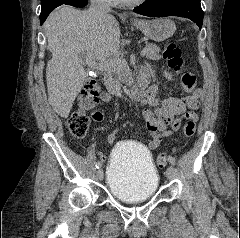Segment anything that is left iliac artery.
I'll return each mask as SVG.
<instances>
[{
	"instance_id": "44dca946",
	"label": "left iliac artery",
	"mask_w": 240,
	"mask_h": 238,
	"mask_svg": "<svg viewBox=\"0 0 240 238\" xmlns=\"http://www.w3.org/2000/svg\"><path fill=\"white\" fill-rule=\"evenodd\" d=\"M168 161L170 162V164L175 165V158L174 157L169 156Z\"/></svg>"
}]
</instances>
